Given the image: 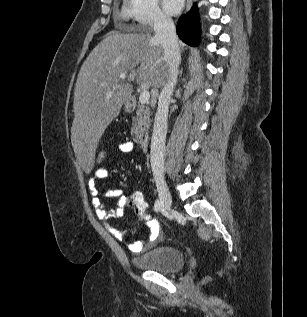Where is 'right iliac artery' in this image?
Instances as JSON below:
<instances>
[{"mask_svg": "<svg viewBox=\"0 0 307 317\" xmlns=\"http://www.w3.org/2000/svg\"><path fill=\"white\" fill-rule=\"evenodd\" d=\"M162 209V204H161V201H159L158 199L155 201V204H154V210L156 212L160 211Z\"/></svg>", "mask_w": 307, "mask_h": 317, "instance_id": "82829eb1", "label": "right iliac artery"}]
</instances>
